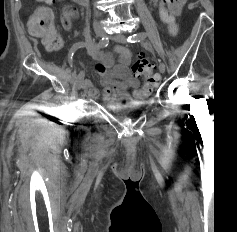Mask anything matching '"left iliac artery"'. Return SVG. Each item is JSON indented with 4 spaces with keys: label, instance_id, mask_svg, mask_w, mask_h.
Masks as SVG:
<instances>
[{
    "label": "left iliac artery",
    "instance_id": "44dca946",
    "mask_svg": "<svg viewBox=\"0 0 237 232\" xmlns=\"http://www.w3.org/2000/svg\"><path fill=\"white\" fill-rule=\"evenodd\" d=\"M147 36H149V33L141 32L137 34H133L127 38V41L130 43L140 42L143 39H145Z\"/></svg>",
    "mask_w": 237,
    "mask_h": 232
}]
</instances>
